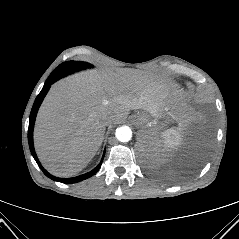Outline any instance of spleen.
Instances as JSON below:
<instances>
[{"label":"spleen","mask_w":239,"mask_h":239,"mask_svg":"<svg viewBox=\"0 0 239 239\" xmlns=\"http://www.w3.org/2000/svg\"><path fill=\"white\" fill-rule=\"evenodd\" d=\"M162 142L166 148H175L181 144L182 133L181 129L170 128L161 133Z\"/></svg>","instance_id":"3e777b00"}]
</instances>
